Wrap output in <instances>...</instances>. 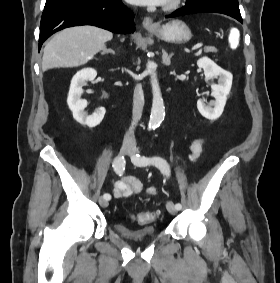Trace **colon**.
<instances>
[{
    "label": "colon",
    "mask_w": 280,
    "mask_h": 283,
    "mask_svg": "<svg viewBox=\"0 0 280 283\" xmlns=\"http://www.w3.org/2000/svg\"><path fill=\"white\" fill-rule=\"evenodd\" d=\"M227 33L229 34L228 41L230 47H239L243 32H238L236 25H229ZM159 215L156 211L138 212L133 215V219L138 224H148L154 221Z\"/></svg>",
    "instance_id": "obj_1"
}]
</instances>
